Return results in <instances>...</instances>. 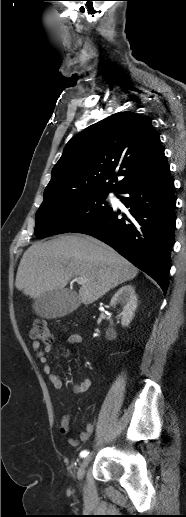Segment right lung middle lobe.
Instances as JSON below:
<instances>
[{
  "label": "right lung middle lobe",
  "instance_id": "1",
  "mask_svg": "<svg viewBox=\"0 0 186 517\" xmlns=\"http://www.w3.org/2000/svg\"><path fill=\"white\" fill-rule=\"evenodd\" d=\"M108 192L84 191L67 194L45 201L36 212L35 236L73 232L94 218L107 212Z\"/></svg>",
  "mask_w": 186,
  "mask_h": 517
}]
</instances>
